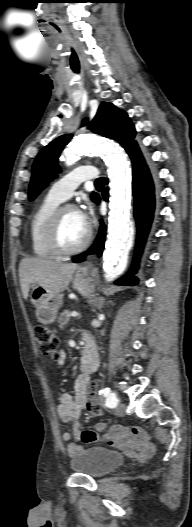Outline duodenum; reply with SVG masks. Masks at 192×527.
<instances>
[{
	"label": "duodenum",
	"mask_w": 192,
	"mask_h": 527,
	"mask_svg": "<svg viewBox=\"0 0 192 527\" xmlns=\"http://www.w3.org/2000/svg\"><path fill=\"white\" fill-rule=\"evenodd\" d=\"M97 367V358L93 346L86 342L82 352L81 370L84 373H91Z\"/></svg>",
	"instance_id": "1"
}]
</instances>
